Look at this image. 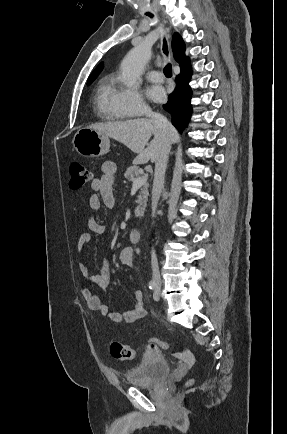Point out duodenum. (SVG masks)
<instances>
[{
    "label": "duodenum",
    "instance_id": "obj_1",
    "mask_svg": "<svg viewBox=\"0 0 287 434\" xmlns=\"http://www.w3.org/2000/svg\"><path fill=\"white\" fill-rule=\"evenodd\" d=\"M129 239L132 243H138L141 239V231L137 228L131 230Z\"/></svg>",
    "mask_w": 287,
    "mask_h": 434
}]
</instances>
